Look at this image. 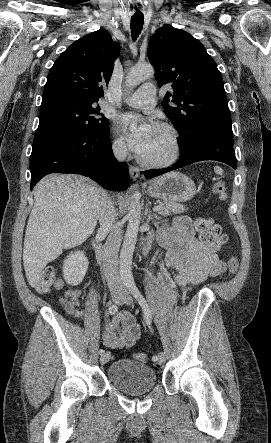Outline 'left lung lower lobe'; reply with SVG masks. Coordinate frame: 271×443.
<instances>
[{"label": "left lung lower lobe", "mask_w": 271, "mask_h": 443, "mask_svg": "<svg viewBox=\"0 0 271 443\" xmlns=\"http://www.w3.org/2000/svg\"><path fill=\"white\" fill-rule=\"evenodd\" d=\"M181 155L170 168L144 171L146 178H153L166 172L203 160H216L236 169L237 160L233 149L231 124L206 121L188 134L186 139H178Z\"/></svg>", "instance_id": "obj_1"}]
</instances>
